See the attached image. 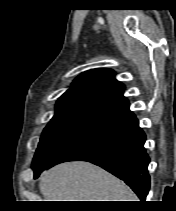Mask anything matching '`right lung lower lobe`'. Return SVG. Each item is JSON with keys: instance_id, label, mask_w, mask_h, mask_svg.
<instances>
[{"instance_id": "obj_1", "label": "right lung lower lobe", "mask_w": 176, "mask_h": 211, "mask_svg": "<svg viewBox=\"0 0 176 211\" xmlns=\"http://www.w3.org/2000/svg\"><path fill=\"white\" fill-rule=\"evenodd\" d=\"M145 139L136 116L127 112L94 126L49 164L35 170L34 178L61 162L89 161L122 179L144 202L150 187Z\"/></svg>"}]
</instances>
